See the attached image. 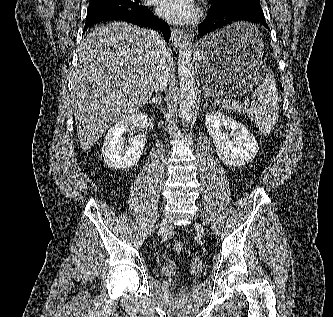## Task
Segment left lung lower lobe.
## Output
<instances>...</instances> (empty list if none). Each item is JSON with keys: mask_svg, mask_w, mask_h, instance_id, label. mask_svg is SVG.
Returning a JSON list of instances; mask_svg holds the SVG:
<instances>
[{"mask_svg": "<svg viewBox=\"0 0 333 317\" xmlns=\"http://www.w3.org/2000/svg\"><path fill=\"white\" fill-rule=\"evenodd\" d=\"M252 22L263 25L268 30L260 3L225 5L212 4L206 19L198 26L199 36L204 35L234 22ZM215 49H212L214 51Z\"/></svg>", "mask_w": 333, "mask_h": 317, "instance_id": "1", "label": "left lung lower lobe"}]
</instances>
